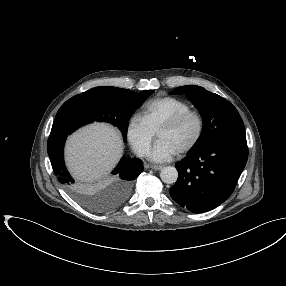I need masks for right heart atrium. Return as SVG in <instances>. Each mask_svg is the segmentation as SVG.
<instances>
[{
	"mask_svg": "<svg viewBox=\"0 0 286 286\" xmlns=\"http://www.w3.org/2000/svg\"><path fill=\"white\" fill-rule=\"evenodd\" d=\"M126 136L133 151L144 157L150 150L155 132L142 115H134L128 121Z\"/></svg>",
	"mask_w": 286,
	"mask_h": 286,
	"instance_id": "d8ad5b80",
	"label": "right heart atrium"
}]
</instances>
